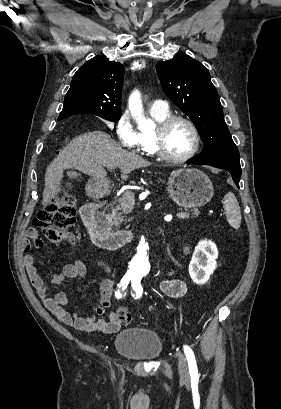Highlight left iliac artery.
Here are the masks:
<instances>
[{
  "label": "left iliac artery",
  "instance_id": "1",
  "mask_svg": "<svg viewBox=\"0 0 281 409\" xmlns=\"http://www.w3.org/2000/svg\"><path fill=\"white\" fill-rule=\"evenodd\" d=\"M132 289L134 291L132 296L135 299L140 298L141 295H142V292H143V288H142V286L140 284V278H138V277L132 278ZM184 352H185V355H186L187 360H188L189 372H190L191 378L192 379H198V370H197L196 360H195V356H194L193 351L191 350L190 347L185 345L184 346Z\"/></svg>",
  "mask_w": 281,
  "mask_h": 409
}]
</instances>
